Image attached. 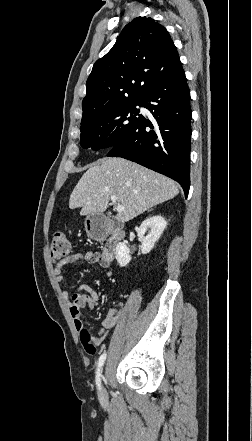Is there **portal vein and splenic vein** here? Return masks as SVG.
Segmentation results:
<instances>
[{"label":"portal vein and splenic vein","mask_w":252,"mask_h":441,"mask_svg":"<svg viewBox=\"0 0 252 441\" xmlns=\"http://www.w3.org/2000/svg\"><path fill=\"white\" fill-rule=\"evenodd\" d=\"M110 199H111L112 203L116 204V201H117L116 196H111ZM124 209H125V207L122 206V205H117V206H116V210H117L118 212H121V211H123Z\"/></svg>","instance_id":"portal-vein-and-splenic-vein-1"}]
</instances>
